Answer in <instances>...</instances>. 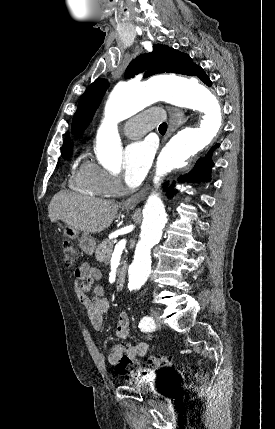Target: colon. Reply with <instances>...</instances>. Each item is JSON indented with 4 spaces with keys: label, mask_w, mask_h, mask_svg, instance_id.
Returning a JSON list of instances; mask_svg holds the SVG:
<instances>
[{
    "label": "colon",
    "mask_w": 275,
    "mask_h": 429,
    "mask_svg": "<svg viewBox=\"0 0 275 429\" xmlns=\"http://www.w3.org/2000/svg\"><path fill=\"white\" fill-rule=\"evenodd\" d=\"M78 258V252L75 246L70 241H65L62 246V260L64 265L71 267L75 264ZM147 364L155 370L162 371L171 368V358L165 356H151L147 359ZM148 368L136 361L123 358L118 366L117 371L121 374H129L134 378L145 377L149 374Z\"/></svg>",
    "instance_id": "5ec220e1"
}]
</instances>
